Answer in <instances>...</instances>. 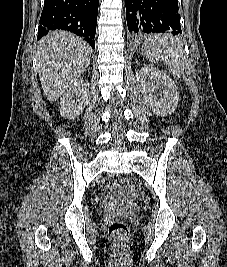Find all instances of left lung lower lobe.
<instances>
[{"instance_id":"left-lung-lower-lobe-1","label":"left lung lower lobe","mask_w":227,"mask_h":267,"mask_svg":"<svg viewBox=\"0 0 227 267\" xmlns=\"http://www.w3.org/2000/svg\"><path fill=\"white\" fill-rule=\"evenodd\" d=\"M178 0H126L127 26L138 39L149 33L181 34Z\"/></svg>"}]
</instances>
